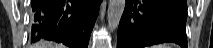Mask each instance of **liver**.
I'll return each instance as SVG.
<instances>
[{
    "label": "liver",
    "instance_id": "obj_1",
    "mask_svg": "<svg viewBox=\"0 0 213 48\" xmlns=\"http://www.w3.org/2000/svg\"><path fill=\"white\" fill-rule=\"evenodd\" d=\"M33 48H64L63 45H55L48 41H40Z\"/></svg>",
    "mask_w": 213,
    "mask_h": 48
}]
</instances>
